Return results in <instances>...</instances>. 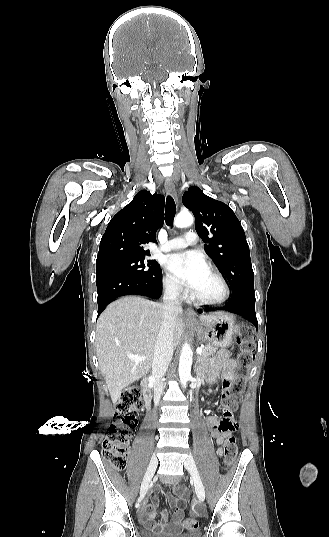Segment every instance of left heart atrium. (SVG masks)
<instances>
[{
	"mask_svg": "<svg viewBox=\"0 0 329 537\" xmlns=\"http://www.w3.org/2000/svg\"><path fill=\"white\" fill-rule=\"evenodd\" d=\"M165 266L188 290L194 292L207 271V265L198 251H186L166 257Z\"/></svg>",
	"mask_w": 329,
	"mask_h": 537,
	"instance_id": "obj_1",
	"label": "left heart atrium"
}]
</instances>
